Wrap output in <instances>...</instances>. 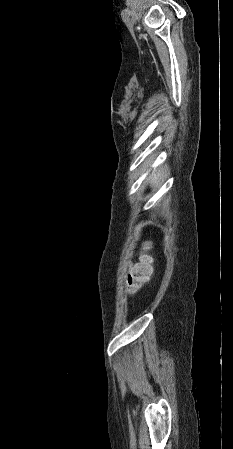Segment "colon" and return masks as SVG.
<instances>
[{
    "label": "colon",
    "instance_id": "5ec220e1",
    "mask_svg": "<svg viewBox=\"0 0 233 449\" xmlns=\"http://www.w3.org/2000/svg\"><path fill=\"white\" fill-rule=\"evenodd\" d=\"M152 273L151 259L145 255L142 262L138 264L131 273V280L137 285H143Z\"/></svg>",
    "mask_w": 233,
    "mask_h": 449
}]
</instances>
